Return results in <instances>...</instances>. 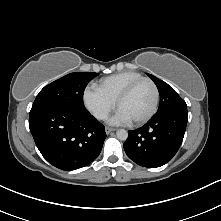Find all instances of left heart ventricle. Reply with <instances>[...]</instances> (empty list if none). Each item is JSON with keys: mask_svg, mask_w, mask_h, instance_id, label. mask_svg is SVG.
I'll list each match as a JSON object with an SVG mask.
<instances>
[{"mask_svg": "<svg viewBox=\"0 0 221 221\" xmlns=\"http://www.w3.org/2000/svg\"><path fill=\"white\" fill-rule=\"evenodd\" d=\"M154 89L148 82L139 84L133 92L120 104L121 110L130 121L144 117L152 108Z\"/></svg>", "mask_w": 221, "mask_h": 221, "instance_id": "1", "label": "left heart ventricle"}]
</instances>
